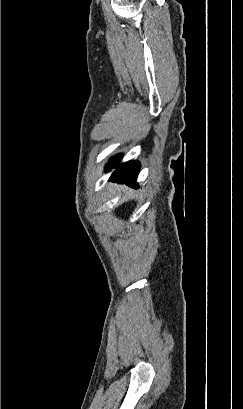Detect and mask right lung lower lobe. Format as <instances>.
<instances>
[{"label": "right lung lower lobe", "mask_w": 243, "mask_h": 409, "mask_svg": "<svg viewBox=\"0 0 243 409\" xmlns=\"http://www.w3.org/2000/svg\"><path fill=\"white\" fill-rule=\"evenodd\" d=\"M121 159V155L114 156L107 164V170L117 167L111 178L113 181L126 182L127 184H136V178L139 173L140 165L137 161H129L121 165L118 162Z\"/></svg>", "instance_id": "1"}]
</instances>
